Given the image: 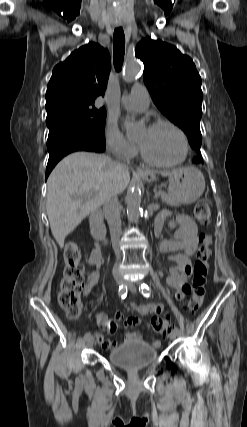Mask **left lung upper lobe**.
Segmentation results:
<instances>
[{"label": "left lung upper lobe", "mask_w": 247, "mask_h": 427, "mask_svg": "<svg viewBox=\"0 0 247 427\" xmlns=\"http://www.w3.org/2000/svg\"><path fill=\"white\" fill-rule=\"evenodd\" d=\"M135 55L144 63V82L155 105L185 132L196 156H201L203 93L192 59L175 46L151 38L138 43Z\"/></svg>", "instance_id": "1"}]
</instances>
